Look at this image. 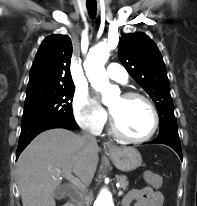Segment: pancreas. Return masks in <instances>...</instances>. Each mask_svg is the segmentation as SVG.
I'll return each instance as SVG.
<instances>
[{
	"mask_svg": "<svg viewBox=\"0 0 197 206\" xmlns=\"http://www.w3.org/2000/svg\"><path fill=\"white\" fill-rule=\"evenodd\" d=\"M116 180L120 184V187L123 188V190L127 189L129 182L127 181V177L125 175H117ZM85 198H86L85 196L81 197L77 201L76 206H83L85 203Z\"/></svg>",
	"mask_w": 197,
	"mask_h": 206,
	"instance_id": "cf45deb5",
	"label": "pancreas"
}]
</instances>
